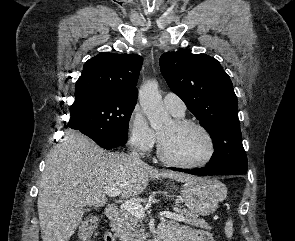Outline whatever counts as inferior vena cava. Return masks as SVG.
I'll return each instance as SVG.
<instances>
[{
  "label": "inferior vena cava",
  "mask_w": 295,
  "mask_h": 241,
  "mask_svg": "<svg viewBox=\"0 0 295 241\" xmlns=\"http://www.w3.org/2000/svg\"><path fill=\"white\" fill-rule=\"evenodd\" d=\"M126 157L130 158L134 164H142V160L140 159V155L136 150H132L129 154H125Z\"/></svg>",
  "instance_id": "602c4592"
}]
</instances>
